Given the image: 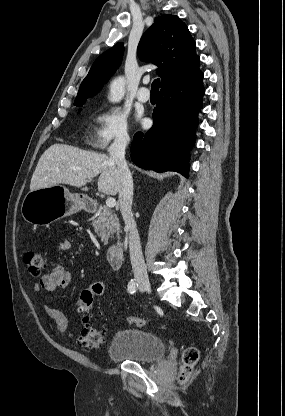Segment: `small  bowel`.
<instances>
[{"label": "small bowel", "mask_w": 285, "mask_h": 416, "mask_svg": "<svg viewBox=\"0 0 285 416\" xmlns=\"http://www.w3.org/2000/svg\"><path fill=\"white\" fill-rule=\"evenodd\" d=\"M70 248L71 242L67 239L61 240L58 244L59 251L65 252ZM71 279L72 275L70 271L61 265H56L50 272L44 274L40 280L34 284L33 289L36 292L42 290L52 292L58 289H65L70 285ZM43 308L46 314L55 321V329L60 336L66 338L74 337V334L68 330L66 317L62 312L47 305H44Z\"/></svg>", "instance_id": "obj_1"}]
</instances>
